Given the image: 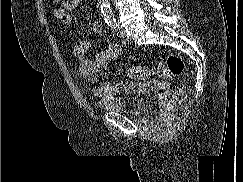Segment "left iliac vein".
<instances>
[{"mask_svg": "<svg viewBox=\"0 0 243 182\" xmlns=\"http://www.w3.org/2000/svg\"><path fill=\"white\" fill-rule=\"evenodd\" d=\"M121 36L126 38L128 37L127 32L123 29L121 30Z\"/></svg>", "mask_w": 243, "mask_h": 182, "instance_id": "left-iliac-vein-1", "label": "left iliac vein"}]
</instances>
